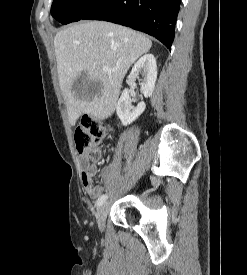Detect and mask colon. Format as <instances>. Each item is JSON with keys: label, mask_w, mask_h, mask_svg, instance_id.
Instances as JSON below:
<instances>
[{"label": "colon", "mask_w": 247, "mask_h": 275, "mask_svg": "<svg viewBox=\"0 0 247 275\" xmlns=\"http://www.w3.org/2000/svg\"><path fill=\"white\" fill-rule=\"evenodd\" d=\"M109 133V128L92 120L84 118L75 129L74 140L78 151L85 152L89 160L98 161L101 157L97 147Z\"/></svg>", "instance_id": "5ec220e1"}]
</instances>
